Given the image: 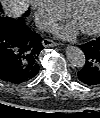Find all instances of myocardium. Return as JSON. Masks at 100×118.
Returning <instances> with one entry per match:
<instances>
[{
	"mask_svg": "<svg viewBox=\"0 0 100 118\" xmlns=\"http://www.w3.org/2000/svg\"><path fill=\"white\" fill-rule=\"evenodd\" d=\"M87 0H76L74 1L65 11L66 18L70 19V17L73 15V13L78 10L80 7H82ZM100 31V8L98 12V18L96 21V24L94 27H92L89 30L81 31L83 35L85 36H92L97 34Z\"/></svg>",
	"mask_w": 100,
	"mask_h": 118,
	"instance_id": "obj_1",
	"label": "myocardium"
}]
</instances>
